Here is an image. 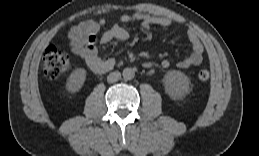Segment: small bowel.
I'll use <instances>...</instances> for the list:
<instances>
[{"label": "small bowel", "mask_w": 259, "mask_h": 156, "mask_svg": "<svg viewBox=\"0 0 259 156\" xmlns=\"http://www.w3.org/2000/svg\"><path fill=\"white\" fill-rule=\"evenodd\" d=\"M131 22H139L144 29L156 26L168 31L172 26L170 18L135 12L120 15L117 22L98 37L99 31L107 26L108 21L105 18L87 20L69 30L68 39L71 51L82 58L94 73H105L114 67L115 61L113 58H101L98 44L106 45L113 41L126 40L129 35L123 25ZM187 37L191 43V52L177 63V67L180 69L197 67L203 61V45L199 35L195 30L190 29L187 32ZM145 66L149 68L152 64L146 63ZM161 66L168 68L170 66L169 60H163Z\"/></svg>", "instance_id": "small-bowel-1"}]
</instances>
